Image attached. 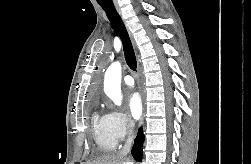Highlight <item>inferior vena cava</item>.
Returning <instances> with one entry per match:
<instances>
[{"label":"inferior vena cava","instance_id":"1","mask_svg":"<svg viewBox=\"0 0 251 164\" xmlns=\"http://www.w3.org/2000/svg\"><path fill=\"white\" fill-rule=\"evenodd\" d=\"M128 127L130 128L129 135H128V138H127V140H126V142L124 144V147L120 151V155H122L124 157L130 152L132 141H133V131H132V129L134 127V122L132 120H129Z\"/></svg>","mask_w":251,"mask_h":164}]
</instances>
